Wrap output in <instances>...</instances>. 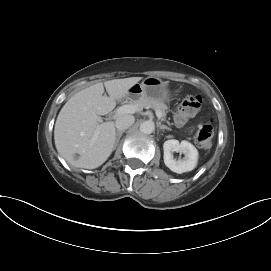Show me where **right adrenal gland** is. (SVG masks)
I'll list each match as a JSON object with an SVG mask.
<instances>
[{
	"label": "right adrenal gland",
	"instance_id": "right-adrenal-gland-1",
	"mask_svg": "<svg viewBox=\"0 0 271 271\" xmlns=\"http://www.w3.org/2000/svg\"><path fill=\"white\" fill-rule=\"evenodd\" d=\"M123 132H124V131H117V133H116V141H115V148H116V146L118 145V143H119V141H120V138H121Z\"/></svg>",
	"mask_w": 271,
	"mask_h": 271
}]
</instances>
